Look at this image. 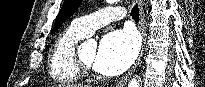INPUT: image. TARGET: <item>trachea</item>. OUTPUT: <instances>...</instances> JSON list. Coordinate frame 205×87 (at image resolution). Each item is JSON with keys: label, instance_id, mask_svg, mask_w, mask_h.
Masks as SVG:
<instances>
[{"label": "trachea", "instance_id": "1", "mask_svg": "<svg viewBox=\"0 0 205 87\" xmlns=\"http://www.w3.org/2000/svg\"><path fill=\"white\" fill-rule=\"evenodd\" d=\"M131 16L135 21H139V8L137 4L132 8Z\"/></svg>", "mask_w": 205, "mask_h": 87}]
</instances>
